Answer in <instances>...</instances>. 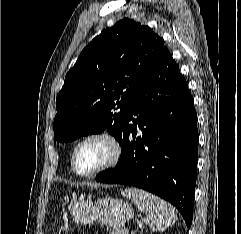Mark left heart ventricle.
Here are the masks:
<instances>
[{"instance_id":"obj_1","label":"left heart ventricle","mask_w":241,"mask_h":234,"mask_svg":"<svg viewBox=\"0 0 241 234\" xmlns=\"http://www.w3.org/2000/svg\"><path fill=\"white\" fill-rule=\"evenodd\" d=\"M111 156L109 145L103 140L84 143L76 154V168L80 172H90L104 164Z\"/></svg>"}]
</instances>
